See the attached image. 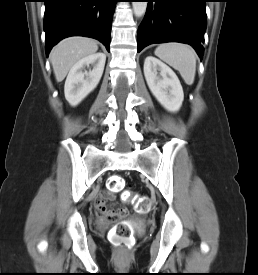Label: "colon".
<instances>
[{
  "label": "colon",
  "mask_w": 258,
  "mask_h": 275,
  "mask_svg": "<svg viewBox=\"0 0 258 275\" xmlns=\"http://www.w3.org/2000/svg\"><path fill=\"white\" fill-rule=\"evenodd\" d=\"M125 181L120 176H113L109 179L108 189L111 192H119L124 188ZM134 195L130 191H125L122 194V199L126 202L134 200ZM150 200L146 196H137L135 201V208L139 213H147L150 209ZM126 214L125 210L120 211H107L105 214L106 218L114 219L122 217ZM109 241L115 246L121 247L123 249H131L135 243V237L132 230L122 224L117 223L114 225L108 233Z\"/></svg>",
  "instance_id": "1"
}]
</instances>
